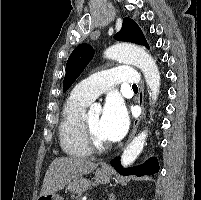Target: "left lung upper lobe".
Instances as JSON below:
<instances>
[{"mask_svg":"<svg viewBox=\"0 0 201 200\" xmlns=\"http://www.w3.org/2000/svg\"><path fill=\"white\" fill-rule=\"evenodd\" d=\"M114 38L119 41L132 42L149 48L140 27L130 18L123 19L122 28L114 35ZM93 55L94 50L92 46L86 43L80 44L73 50L66 64V74L63 81L64 91L74 83Z\"/></svg>","mask_w":201,"mask_h":200,"instance_id":"left-lung-upper-lobe-1","label":"left lung upper lobe"}]
</instances>
